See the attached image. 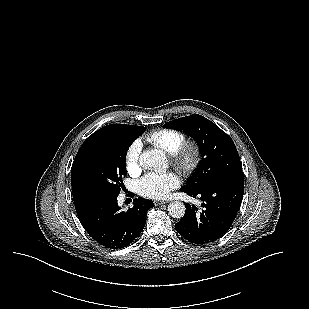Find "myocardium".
<instances>
[{
	"label": "myocardium",
	"mask_w": 309,
	"mask_h": 309,
	"mask_svg": "<svg viewBox=\"0 0 309 309\" xmlns=\"http://www.w3.org/2000/svg\"><path fill=\"white\" fill-rule=\"evenodd\" d=\"M172 164L183 174H192L200 164L201 149L195 141H184L171 154Z\"/></svg>",
	"instance_id": "myocardium-1"
}]
</instances>
